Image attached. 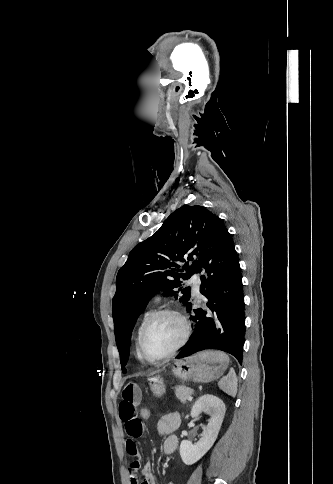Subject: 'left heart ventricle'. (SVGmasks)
Returning <instances> with one entry per match:
<instances>
[{
	"mask_svg": "<svg viewBox=\"0 0 333 484\" xmlns=\"http://www.w3.org/2000/svg\"><path fill=\"white\" fill-rule=\"evenodd\" d=\"M182 335L183 325L177 317L161 316L153 322L147 332L145 351L150 357H161L177 345Z\"/></svg>",
	"mask_w": 333,
	"mask_h": 484,
	"instance_id": "1",
	"label": "left heart ventricle"
}]
</instances>
